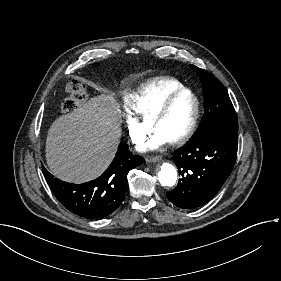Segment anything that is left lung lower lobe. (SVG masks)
Returning <instances> with one entry per match:
<instances>
[{
  "label": "left lung lower lobe",
  "instance_id": "obj_1",
  "mask_svg": "<svg viewBox=\"0 0 281 281\" xmlns=\"http://www.w3.org/2000/svg\"><path fill=\"white\" fill-rule=\"evenodd\" d=\"M238 132L201 129L172 158L179 175L178 185L168 199L183 209H194L210 201L233 170Z\"/></svg>",
  "mask_w": 281,
  "mask_h": 281
}]
</instances>
